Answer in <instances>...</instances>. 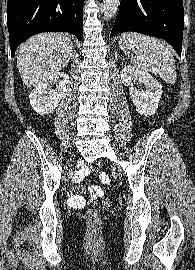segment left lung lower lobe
Returning a JSON list of instances; mask_svg holds the SVG:
<instances>
[{
	"label": "left lung lower lobe",
	"mask_w": 195,
	"mask_h": 270,
	"mask_svg": "<svg viewBox=\"0 0 195 270\" xmlns=\"http://www.w3.org/2000/svg\"><path fill=\"white\" fill-rule=\"evenodd\" d=\"M183 0H121L110 37L138 32L167 41L181 56Z\"/></svg>",
	"instance_id": "left-lung-lower-lobe-1"
}]
</instances>
